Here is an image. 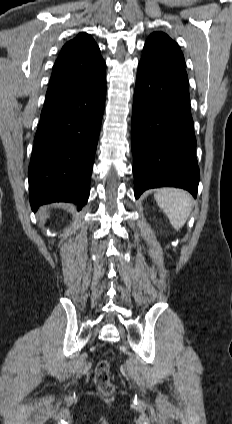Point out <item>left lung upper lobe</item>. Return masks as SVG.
<instances>
[{
    "label": "left lung upper lobe",
    "mask_w": 232,
    "mask_h": 424,
    "mask_svg": "<svg viewBox=\"0 0 232 424\" xmlns=\"http://www.w3.org/2000/svg\"><path fill=\"white\" fill-rule=\"evenodd\" d=\"M139 65L155 69L186 67L177 43L162 32H154L148 37Z\"/></svg>",
    "instance_id": "5c2ea615"
}]
</instances>
